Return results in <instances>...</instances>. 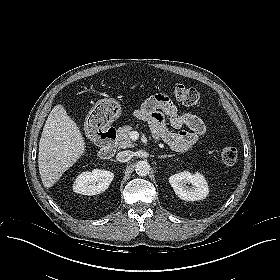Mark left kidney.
Instances as JSON below:
<instances>
[{"label":"left kidney","instance_id":"5707ae66","mask_svg":"<svg viewBox=\"0 0 280 280\" xmlns=\"http://www.w3.org/2000/svg\"><path fill=\"white\" fill-rule=\"evenodd\" d=\"M169 183L175 194L182 200H203L209 193L205 177L196 172L194 174L184 171L170 176ZM191 184V186H189Z\"/></svg>","mask_w":280,"mask_h":280}]
</instances>
